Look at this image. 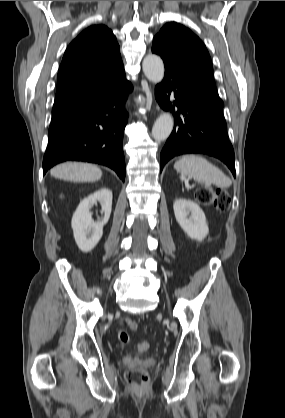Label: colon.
<instances>
[{
  "mask_svg": "<svg viewBox=\"0 0 285 418\" xmlns=\"http://www.w3.org/2000/svg\"><path fill=\"white\" fill-rule=\"evenodd\" d=\"M196 199L204 206L214 207L220 212H225L230 205V196L228 192L220 188H205L196 193ZM117 337L122 343H128L130 340L129 333L120 329L117 332ZM138 352H146L149 349V344L146 341L138 342L136 345ZM148 374L143 369H133L126 373L127 382L134 387L143 388L148 384Z\"/></svg>",
  "mask_w": 285,
  "mask_h": 418,
  "instance_id": "obj_1",
  "label": "colon"
}]
</instances>
